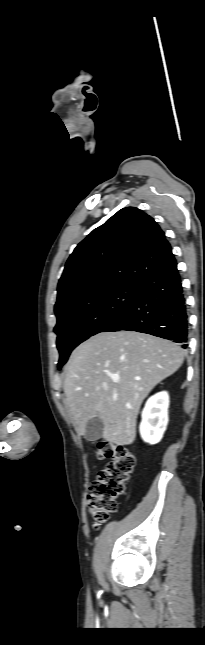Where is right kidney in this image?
I'll list each match as a JSON object with an SVG mask.
<instances>
[{
	"label": "right kidney",
	"instance_id": "obj_1",
	"mask_svg": "<svg viewBox=\"0 0 205 645\" xmlns=\"http://www.w3.org/2000/svg\"><path fill=\"white\" fill-rule=\"evenodd\" d=\"M169 395L166 391L151 396L142 411L140 435L150 444L158 443L168 424Z\"/></svg>",
	"mask_w": 205,
	"mask_h": 645
}]
</instances>
